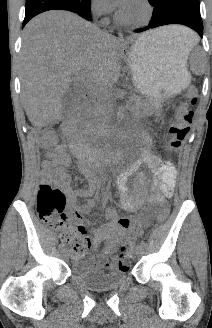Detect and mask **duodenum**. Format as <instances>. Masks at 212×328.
<instances>
[{"instance_id": "1", "label": "duodenum", "mask_w": 212, "mask_h": 328, "mask_svg": "<svg viewBox=\"0 0 212 328\" xmlns=\"http://www.w3.org/2000/svg\"><path fill=\"white\" fill-rule=\"evenodd\" d=\"M83 96L85 98H89L92 95L88 90H85ZM76 116H77V111H73L63 121V130L71 139L72 151L75 154V156L79 159L81 168L85 172L90 173L91 147L75 131Z\"/></svg>"}]
</instances>
